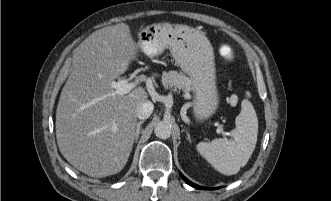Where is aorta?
I'll return each mask as SVG.
<instances>
[{
	"instance_id": "1",
	"label": "aorta",
	"mask_w": 331,
	"mask_h": 201,
	"mask_svg": "<svg viewBox=\"0 0 331 201\" xmlns=\"http://www.w3.org/2000/svg\"><path fill=\"white\" fill-rule=\"evenodd\" d=\"M154 132L158 138L167 139L172 133L171 125L168 122L160 121L156 124Z\"/></svg>"
}]
</instances>
